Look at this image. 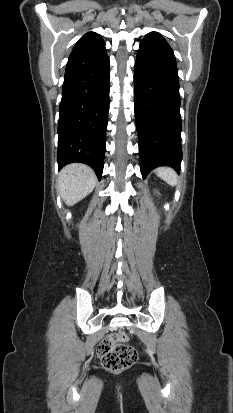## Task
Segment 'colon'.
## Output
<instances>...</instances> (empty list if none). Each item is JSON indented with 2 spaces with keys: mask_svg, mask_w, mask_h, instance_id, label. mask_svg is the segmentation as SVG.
Instances as JSON below:
<instances>
[{
  "mask_svg": "<svg viewBox=\"0 0 233 413\" xmlns=\"http://www.w3.org/2000/svg\"><path fill=\"white\" fill-rule=\"evenodd\" d=\"M123 332L108 335L97 347L103 366L109 371H122L132 366L138 359L137 350L126 343Z\"/></svg>",
  "mask_w": 233,
  "mask_h": 413,
  "instance_id": "5ec220e1",
  "label": "colon"
}]
</instances>
